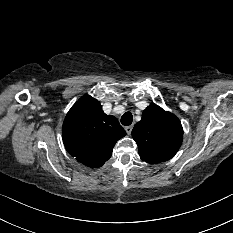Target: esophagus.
I'll return each instance as SVG.
<instances>
[{
    "label": "esophagus",
    "mask_w": 233,
    "mask_h": 233,
    "mask_svg": "<svg viewBox=\"0 0 233 233\" xmlns=\"http://www.w3.org/2000/svg\"><path fill=\"white\" fill-rule=\"evenodd\" d=\"M133 126H126L125 131L127 132L128 135L131 134Z\"/></svg>",
    "instance_id": "obj_1"
}]
</instances>
